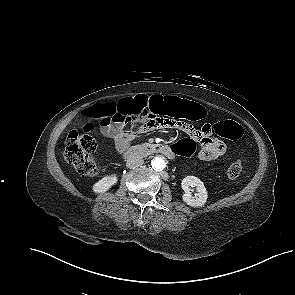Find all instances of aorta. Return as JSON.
Returning <instances> with one entry per match:
<instances>
[{"label":"aorta","mask_w":295,"mask_h":295,"mask_svg":"<svg viewBox=\"0 0 295 295\" xmlns=\"http://www.w3.org/2000/svg\"><path fill=\"white\" fill-rule=\"evenodd\" d=\"M165 165V160L162 157L156 156L151 160V166L156 171H162Z\"/></svg>","instance_id":"762f6f07"}]
</instances>
